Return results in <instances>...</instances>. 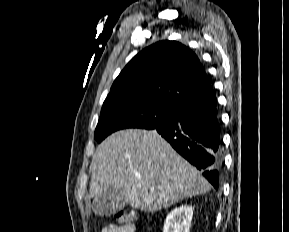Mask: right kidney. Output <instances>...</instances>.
Segmentation results:
<instances>
[{
  "label": "right kidney",
  "instance_id": "obj_1",
  "mask_svg": "<svg viewBox=\"0 0 289 232\" xmlns=\"http://www.w3.org/2000/svg\"><path fill=\"white\" fill-rule=\"evenodd\" d=\"M194 208L182 205L173 209L166 217L163 232H189Z\"/></svg>",
  "mask_w": 289,
  "mask_h": 232
}]
</instances>
